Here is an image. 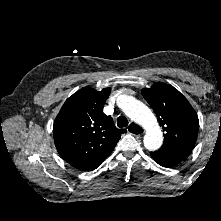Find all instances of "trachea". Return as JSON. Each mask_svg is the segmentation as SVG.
<instances>
[{
  "instance_id": "trachea-1",
  "label": "trachea",
  "mask_w": 221,
  "mask_h": 221,
  "mask_svg": "<svg viewBox=\"0 0 221 221\" xmlns=\"http://www.w3.org/2000/svg\"><path fill=\"white\" fill-rule=\"evenodd\" d=\"M128 125V120L125 116H119L117 119V126L119 128L126 127Z\"/></svg>"
}]
</instances>
